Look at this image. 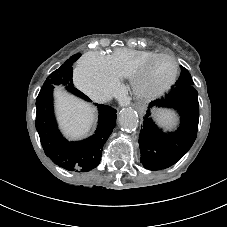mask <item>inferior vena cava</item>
<instances>
[{
    "mask_svg": "<svg viewBox=\"0 0 227 227\" xmlns=\"http://www.w3.org/2000/svg\"><path fill=\"white\" fill-rule=\"evenodd\" d=\"M92 99L95 101V102H98V103H103V102H106L109 100V97L107 96H102V95H99L98 93H95L92 95Z\"/></svg>",
    "mask_w": 227,
    "mask_h": 227,
    "instance_id": "1",
    "label": "inferior vena cava"
}]
</instances>
